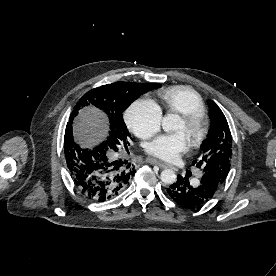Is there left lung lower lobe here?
Instances as JSON below:
<instances>
[{"mask_svg":"<svg viewBox=\"0 0 276 276\" xmlns=\"http://www.w3.org/2000/svg\"><path fill=\"white\" fill-rule=\"evenodd\" d=\"M189 173L185 177L178 175V180L168 189L169 196L179 205L186 208H200L208 202L219 189V182L209 174H203L195 185L189 180Z\"/></svg>","mask_w":276,"mask_h":276,"instance_id":"obj_1","label":"left lung lower lobe"}]
</instances>
